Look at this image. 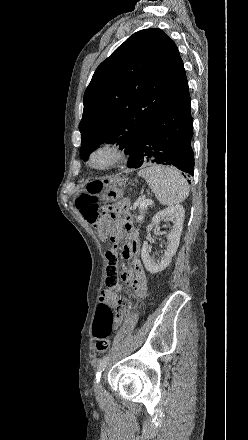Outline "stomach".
I'll use <instances>...</instances> for the list:
<instances>
[{"label":"stomach","instance_id":"obj_1","mask_svg":"<svg viewBox=\"0 0 248 440\" xmlns=\"http://www.w3.org/2000/svg\"><path fill=\"white\" fill-rule=\"evenodd\" d=\"M103 197L107 202H116L123 197V189L116 186L106 187Z\"/></svg>","mask_w":248,"mask_h":440}]
</instances>
